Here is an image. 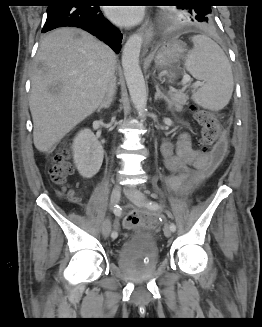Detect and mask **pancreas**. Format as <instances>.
I'll list each match as a JSON object with an SVG mask.
<instances>
[{
  "label": "pancreas",
  "mask_w": 262,
  "mask_h": 327,
  "mask_svg": "<svg viewBox=\"0 0 262 327\" xmlns=\"http://www.w3.org/2000/svg\"><path fill=\"white\" fill-rule=\"evenodd\" d=\"M169 96L171 99V107H175L176 111H181L183 105L186 104L188 96L182 92H169Z\"/></svg>",
  "instance_id": "1"
}]
</instances>
